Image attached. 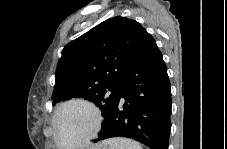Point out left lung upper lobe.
<instances>
[{"label": "left lung upper lobe", "mask_w": 227, "mask_h": 149, "mask_svg": "<svg viewBox=\"0 0 227 149\" xmlns=\"http://www.w3.org/2000/svg\"><path fill=\"white\" fill-rule=\"evenodd\" d=\"M142 30L135 20L116 16L67 44L56 69L53 104L85 97L105 117L121 91Z\"/></svg>", "instance_id": "left-lung-upper-lobe-1"}]
</instances>
